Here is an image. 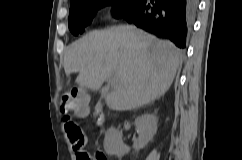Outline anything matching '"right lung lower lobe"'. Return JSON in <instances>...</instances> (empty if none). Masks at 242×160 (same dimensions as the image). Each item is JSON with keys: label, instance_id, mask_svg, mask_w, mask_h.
<instances>
[{"label": "right lung lower lobe", "instance_id": "right-lung-lower-lobe-1", "mask_svg": "<svg viewBox=\"0 0 242 160\" xmlns=\"http://www.w3.org/2000/svg\"><path fill=\"white\" fill-rule=\"evenodd\" d=\"M199 0H140L121 18L185 48Z\"/></svg>", "mask_w": 242, "mask_h": 160}]
</instances>
